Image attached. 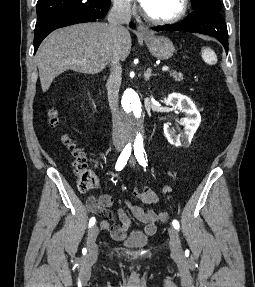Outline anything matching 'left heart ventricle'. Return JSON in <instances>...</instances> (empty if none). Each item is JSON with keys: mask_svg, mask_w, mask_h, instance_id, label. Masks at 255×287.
Segmentation results:
<instances>
[{"mask_svg": "<svg viewBox=\"0 0 255 287\" xmlns=\"http://www.w3.org/2000/svg\"><path fill=\"white\" fill-rule=\"evenodd\" d=\"M149 33H169V32H149ZM153 39H166V38H153ZM152 48H166V47H152Z\"/></svg>", "mask_w": 255, "mask_h": 287, "instance_id": "b2bd125f", "label": "left heart ventricle"}]
</instances>
